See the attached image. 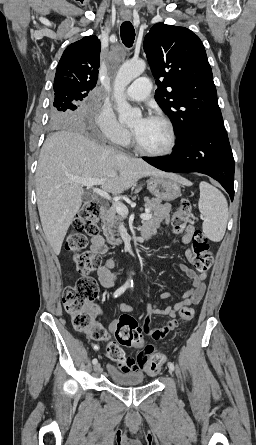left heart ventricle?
I'll return each instance as SVG.
<instances>
[{
  "label": "left heart ventricle",
  "mask_w": 256,
  "mask_h": 445,
  "mask_svg": "<svg viewBox=\"0 0 256 445\" xmlns=\"http://www.w3.org/2000/svg\"><path fill=\"white\" fill-rule=\"evenodd\" d=\"M138 142L146 149L160 151L169 143V133L165 125L151 119H138L131 125Z\"/></svg>",
  "instance_id": "b2bd125f"
}]
</instances>
